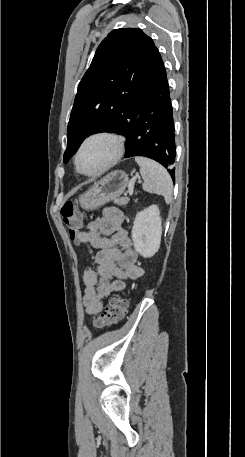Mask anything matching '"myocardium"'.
I'll return each instance as SVG.
<instances>
[{
	"label": "myocardium",
	"mask_w": 245,
	"mask_h": 457,
	"mask_svg": "<svg viewBox=\"0 0 245 457\" xmlns=\"http://www.w3.org/2000/svg\"><path fill=\"white\" fill-rule=\"evenodd\" d=\"M99 138L108 139V140L111 141V143H112V145H111V150H112L111 157L108 160V162L103 167H101L99 170L94 171V172H87L81 167V163H80L81 156H82L84 150L86 149L88 143L90 141H92V140L99 139ZM123 150H124V141L121 138V136H119L116 133L108 132V131H101V132H96V133L90 134L89 136H87L83 140V142L81 143V146H80V148H79V150L77 152L76 159H75L76 166H77L79 172L84 174V175H87V176H98L101 173H103L106 170H108L109 168H111L118 161V159L123 154Z\"/></svg>",
	"instance_id": "obj_1"
}]
</instances>
